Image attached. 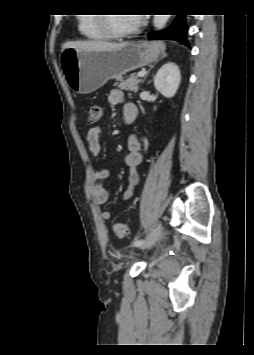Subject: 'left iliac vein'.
<instances>
[{"instance_id":"4c4485c4","label":"left iliac vein","mask_w":254,"mask_h":355,"mask_svg":"<svg viewBox=\"0 0 254 355\" xmlns=\"http://www.w3.org/2000/svg\"><path fill=\"white\" fill-rule=\"evenodd\" d=\"M162 231H163V226H162V224H159V225L155 228V230L153 231L152 235L145 241L144 244H142L141 246H139V248L143 250V249H145V248L151 246V245L154 243V241L157 239V237H158L159 235H161Z\"/></svg>"}]
</instances>
